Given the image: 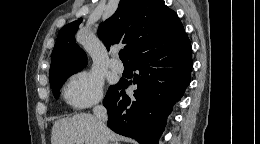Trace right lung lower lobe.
<instances>
[{
  "label": "right lung lower lobe",
  "instance_id": "obj_1",
  "mask_svg": "<svg viewBox=\"0 0 260 144\" xmlns=\"http://www.w3.org/2000/svg\"><path fill=\"white\" fill-rule=\"evenodd\" d=\"M191 55V43L185 33L176 41L132 58L130 64L139 74L133 81L120 80L110 87L103 100L108 127L140 144H157L166 117L190 83ZM132 83L137 84L133 95L124 90L118 92Z\"/></svg>",
  "mask_w": 260,
  "mask_h": 144
}]
</instances>
